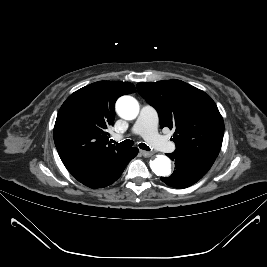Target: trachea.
I'll list each match as a JSON object with an SVG mask.
<instances>
[{
  "mask_svg": "<svg viewBox=\"0 0 267 267\" xmlns=\"http://www.w3.org/2000/svg\"><path fill=\"white\" fill-rule=\"evenodd\" d=\"M113 143L117 144L120 147H130V146H133V141L132 140H129V139L128 140H124L123 142H120V143H116V142L113 141ZM138 146L141 149H143V150H150V148L146 144H144V143H140Z\"/></svg>",
  "mask_w": 267,
  "mask_h": 267,
  "instance_id": "obj_1",
  "label": "trachea"
}]
</instances>
